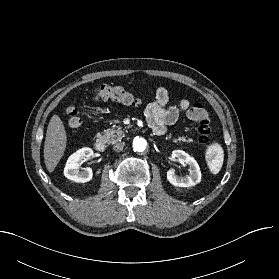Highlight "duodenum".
I'll use <instances>...</instances> for the list:
<instances>
[{"label":"duodenum","instance_id":"duodenum-1","mask_svg":"<svg viewBox=\"0 0 279 279\" xmlns=\"http://www.w3.org/2000/svg\"><path fill=\"white\" fill-rule=\"evenodd\" d=\"M93 147L96 151L103 152L106 148L105 141L102 140V139H97V140L94 141Z\"/></svg>","mask_w":279,"mask_h":279}]
</instances>
